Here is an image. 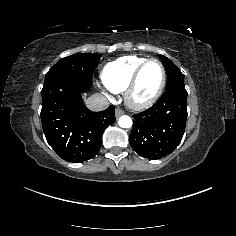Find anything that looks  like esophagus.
Returning <instances> with one entry per match:
<instances>
[{"label": "esophagus", "instance_id": "obj_1", "mask_svg": "<svg viewBox=\"0 0 236 236\" xmlns=\"http://www.w3.org/2000/svg\"><path fill=\"white\" fill-rule=\"evenodd\" d=\"M123 111L122 110H120V109H116V111H115V115H116V118H118V117H120L121 115H123Z\"/></svg>", "mask_w": 236, "mask_h": 236}]
</instances>
